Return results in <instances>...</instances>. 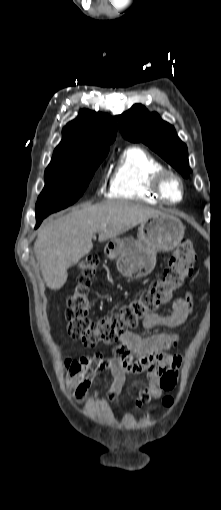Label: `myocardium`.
<instances>
[{"mask_svg": "<svg viewBox=\"0 0 221 510\" xmlns=\"http://www.w3.org/2000/svg\"><path fill=\"white\" fill-rule=\"evenodd\" d=\"M168 180H174L180 187L181 196L178 200H170L165 193V185ZM151 191L155 197L166 205H177L185 198V186L179 175L171 170L163 169L154 174L151 181Z\"/></svg>", "mask_w": 221, "mask_h": 510, "instance_id": "f54148a6", "label": "myocardium"}]
</instances>
